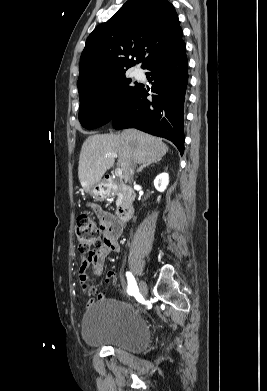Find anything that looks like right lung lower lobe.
<instances>
[{"mask_svg": "<svg viewBox=\"0 0 267 391\" xmlns=\"http://www.w3.org/2000/svg\"><path fill=\"white\" fill-rule=\"evenodd\" d=\"M152 82L149 89L141 84L133 98L112 118L116 129L137 128L172 141L181 154L184 150L183 110L188 85L186 45L159 56L145 68Z\"/></svg>", "mask_w": 267, "mask_h": 391, "instance_id": "right-lung-lower-lobe-1", "label": "right lung lower lobe"}]
</instances>
